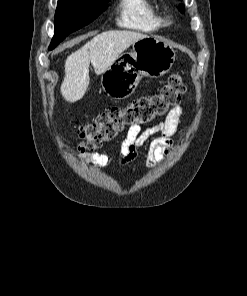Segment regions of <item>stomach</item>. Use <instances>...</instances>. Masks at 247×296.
<instances>
[{
	"label": "stomach",
	"mask_w": 247,
	"mask_h": 296,
	"mask_svg": "<svg viewBox=\"0 0 247 296\" xmlns=\"http://www.w3.org/2000/svg\"><path fill=\"white\" fill-rule=\"evenodd\" d=\"M174 61L175 50L168 43L147 36L134 42L131 52L122 53L103 72L102 88L113 99H125L134 93L144 76L161 77Z\"/></svg>",
	"instance_id": "stomach-1"
}]
</instances>
